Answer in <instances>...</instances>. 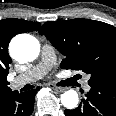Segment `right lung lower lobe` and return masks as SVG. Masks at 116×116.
Here are the masks:
<instances>
[{
  "mask_svg": "<svg viewBox=\"0 0 116 116\" xmlns=\"http://www.w3.org/2000/svg\"><path fill=\"white\" fill-rule=\"evenodd\" d=\"M37 89L19 93L10 91L0 97V116H30L34 110Z\"/></svg>",
  "mask_w": 116,
  "mask_h": 116,
  "instance_id": "right-lung-lower-lobe-1",
  "label": "right lung lower lobe"
}]
</instances>
